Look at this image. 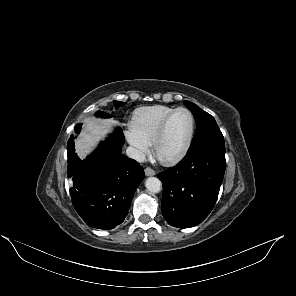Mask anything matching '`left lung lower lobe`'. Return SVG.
Segmentation results:
<instances>
[{
	"label": "left lung lower lobe",
	"mask_w": 296,
	"mask_h": 296,
	"mask_svg": "<svg viewBox=\"0 0 296 296\" xmlns=\"http://www.w3.org/2000/svg\"><path fill=\"white\" fill-rule=\"evenodd\" d=\"M225 166V144L217 142L187 153L175 167L160 172L166 221L178 228L202 222L217 201Z\"/></svg>",
	"instance_id": "1"
}]
</instances>
